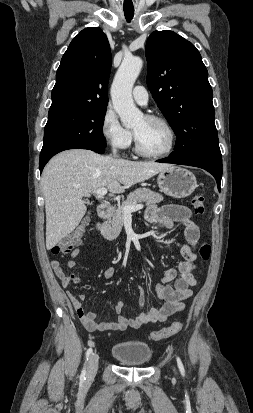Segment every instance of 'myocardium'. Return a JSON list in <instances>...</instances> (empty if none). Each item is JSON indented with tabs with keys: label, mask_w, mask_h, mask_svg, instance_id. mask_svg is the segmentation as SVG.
I'll use <instances>...</instances> for the list:
<instances>
[{
	"label": "myocardium",
	"mask_w": 253,
	"mask_h": 413,
	"mask_svg": "<svg viewBox=\"0 0 253 413\" xmlns=\"http://www.w3.org/2000/svg\"><path fill=\"white\" fill-rule=\"evenodd\" d=\"M145 118L149 121L159 123V124H161L162 126L165 127V129L167 130V132L169 134V144H168L167 148L164 149L163 151L156 152V153L147 152L140 146V143L137 139V136L134 133V143H135L136 153L139 154L140 156H143V157H146V158H160V157H163V156H166V155L170 154L172 152V150L174 149V147H175L176 139H177L175 129L173 128L171 123L167 119H165L161 116H156V115H147V116H145Z\"/></svg>",
	"instance_id": "1"
}]
</instances>
